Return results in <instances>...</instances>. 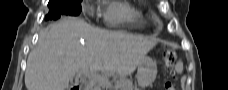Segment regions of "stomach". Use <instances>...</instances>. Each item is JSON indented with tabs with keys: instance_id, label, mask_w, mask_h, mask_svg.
I'll return each instance as SVG.
<instances>
[{
	"instance_id": "0dacf381",
	"label": "stomach",
	"mask_w": 228,
	"mask_h": 90,
	"mask_svg": "<svg viewBox=\"0 0 228 90\" xmlns=\"http://www.w3.org/2000/svg\"><path fill=\"white\" fill-rule=\"evenodd\" d=\"M157 75L156 62L150 57H144L138 66L137 79L142 88L150 86Z\"/></svg>"
}]
</instances>
